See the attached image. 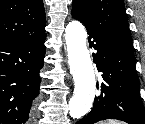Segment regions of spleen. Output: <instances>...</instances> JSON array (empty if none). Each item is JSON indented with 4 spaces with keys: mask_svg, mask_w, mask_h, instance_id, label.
I'll use <instances>...</instances> for the list:
<instances>
[{
    "mask_svg": "<svg viewBox=\"0 0 145 124\" xmlns=\"http://www.w3.org/2000/svg\"><path fill=\"white\" fill-rule=\"evenodd\" d=\"M100 124H124V123L116 120H109L107 122H101Z\"/></svg>",
    "mask_w": 145,
    "mask_h": 124,
    "instance_id": "spleen-1",
    "label": "spleen"
}]
</instances>
